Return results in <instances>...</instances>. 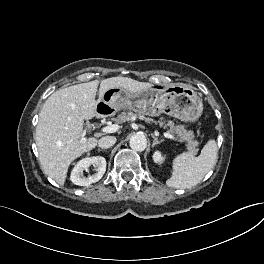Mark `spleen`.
Wrapping results in <instances>:
<instances>
[{"mask_svg": "<svg viewBox=\"0 0 264 264\" xmlns=\"http://www.w3.org/2000/svg\"><path fill=\"white\" fill-rule=\"evenodd\" d=\"M217 156L215 140H209L197 157L188 152L176 156L173 160L172 175L166 181L167 186L177 189L194 187L214 167Z\"/></svg>", "mask_w": 264, "mask_h": 264, "instance_id": "obj_1", "label": "spleen"}]
</instances>
